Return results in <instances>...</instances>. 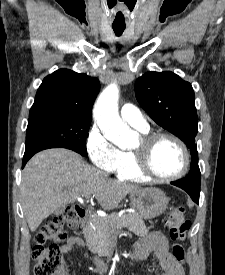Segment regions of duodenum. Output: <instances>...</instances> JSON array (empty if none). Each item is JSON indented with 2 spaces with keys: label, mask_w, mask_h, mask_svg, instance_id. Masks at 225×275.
I'll return each mask as SVG.
<instances>
[{
  "label": "duodenum",
  "mask_w": 225,
  "mask_h": 275,
  "mask_svg": "<svg viewBox=\"0 0 225 275\" xmlns=\"http://www.w3.org/2000/svg\"><path fill=\"white\" fill-rule=\"evenodd\" d=\"M80 220L82 221L83 225H87L90 222L89 218L86 215L85 209H81V219ZM96 264H97V267H98L100 273L104 274L107 272L108 266L102 259L97 258Z\"/></svg>",
  "instance_id": "1"
}]
</instances>
